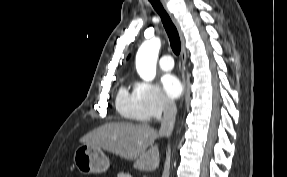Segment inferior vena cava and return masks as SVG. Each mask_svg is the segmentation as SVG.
I'll return each instance as SVG.
<instances>
[{
  "instance_id": "1",
  "label": "inferior vena cava",
  "mask_w": 287,
  "mask_h": 177,
  "mask_svg": "<svg viewBox=\"0 0 287 177\" xmlns=\"http://www.w3.org/2000/svg\"><path fill=\"white\" fill-rule=\"evenodd\" d=\"M177 108L175 102L170 98L164 99L163 118L161 119V127L159 135L169 137L172 134Z\"/></svg>"
}]
</instances>
